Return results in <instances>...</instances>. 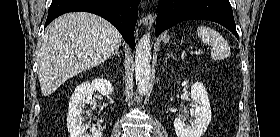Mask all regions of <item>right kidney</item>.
<instances>
[{"instance_id":"obj_1","label":"right kidney","mask_w":280,"mask_h":137,"mask_svg":"<svg viewBox=\"0 0 280 137\" xmlns=\"http://www.w3.org/2000/svg\"><path fill=\"white\" fill-rule=\"evenodd\" d=\"M94 91H98L104 96H108L113 92V86L106 79H94L93 81L83 82L75 88L68 107L67 128L70 137H101V132L95 127L91 128L92 135H86V127L83 124L82 109L85 104H92V96Z\"/></svg>"}]
</instances>
